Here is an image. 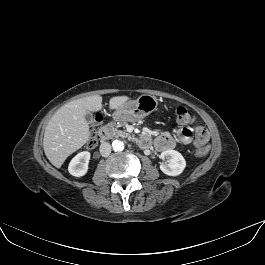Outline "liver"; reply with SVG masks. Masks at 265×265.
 <instances>
[{
    "label": "liver",
    "instance_id": "obj_1",
    "mask_svg": "<svg viewBox=\"0 0 265 265\" xmlns=\"http://www.w3.org/2000/svg\"><path fill=\"white\" fill-rule=\"evenodd\" d=\"M129 99L125 95L112 97L109 108L117 109ZM102 108V97L94 95L69 102L52 116L43 138L44 152L52 165L60 168L68 156L89 140L90 131L85 114Z\"/></svg>",
    "mask_w": 265,
    "mask_h": 265
}]
</instances>
